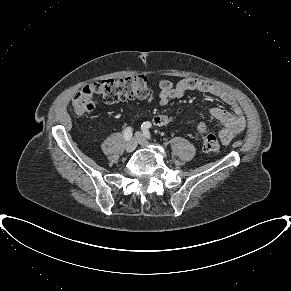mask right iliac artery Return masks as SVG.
Segmentation results:
<instances>
[{"label": "right iliac artery", "instance_id": "right-iliac-artery-1", "mask_svg": "<svg viewBox=\"0 0 291 291\" xmlns=\"http://www.w3.org/2000/svg\"><path fill=\"white\" fill-rule=\"evenodd\" d=\"M132 128L131 127H127L124 132H123V137L126 141H129L132 137Z\"/></svg>", "mask_w": 291, "mask_h": 291}]
</instances>
